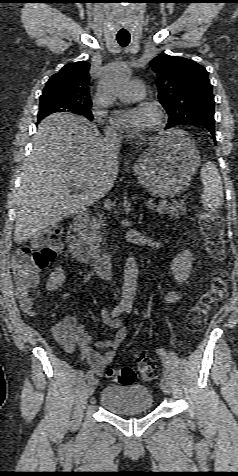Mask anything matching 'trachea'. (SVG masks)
I'll return each instance as SVG.
<instances>
[{"mask_svg": "<svg viewBox=\"0 0 238 476\" xmlns=\"http://www.w3.org/2000/svg\"><path fill=\"white\" fill-rule=\"evenodd\" d=\"M117 41H118V43L121 47H126L130 42V36L129 35H123V36L118 35L117 36Z\"/></svg>", "mask_w": 238, "mask_h": 476, "instance_id": "1", "label": "trachea"}]
</instances>
